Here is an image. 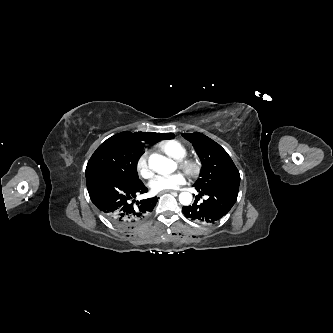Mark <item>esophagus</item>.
I'll return each mask as SVG.
<instances>
[{"label":"esophagus","mask_w":333,"mask_h":333,"mask_svg":"<svg viewBox=\"0 0 333 333\" xmlns=\"http://www.w3.org/2000/svg\"><path fill=\"white\" fill-rule=\"evenodd\" d=\"M166 192H172V190H167V191L161 192L160 194H163V193H166Z\"/></svg>","instance_id":"34e87169"}]
</instances>
